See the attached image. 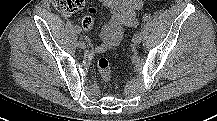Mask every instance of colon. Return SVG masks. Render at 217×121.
I'll list each match as a JSON object with an SVG mask.
<instances>
[{"label":"colon","instance_id":"obj_1","mask_svg":"<svg viewBox=\"0 0 217 121\" xmlns=\"http://www.w3.org/2000/svg\"><path fill=\"white\" fill-rule=\"evenodd\" d=\"M159 1V0H154ZM85 0H53V5L56 10L64 14H73L80 9H82L85 5ZM96 14L95 8L89 9V15L83 19L82 26L85 30H90L93 26L94 19L93 15ZM96 66L98 72L105 82H109L111 80V68L109 60L101 56L96 61Z\"/></svg>","mask_w":217,"mask_h":121}]
</instances>
